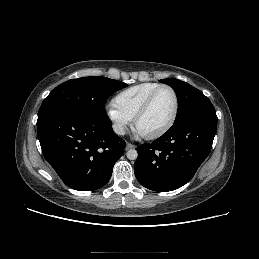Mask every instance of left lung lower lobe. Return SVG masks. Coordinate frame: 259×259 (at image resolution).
<instances>
[{"instance_id": "left-lung-lower-lobe-1", "label": "left lung lower lobe", "mask_w": 259, "mask_h": 259, "mask_svg": "<svg viewBox=\"0 0 259 259\" xmlns=\"http://www.w3.org/2000/svg\"><path fill=\"white\" fill-rule=\"evenodd\" d=\"M217 119L189 117L178 122L152 143L137 147L134 172L139 183L167 192L189 182L209 155Z\"/></svg>"}]
</instances>
